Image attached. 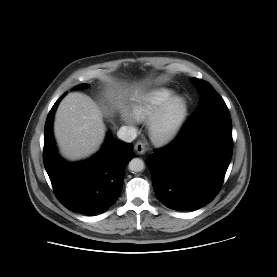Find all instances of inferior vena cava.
Returning <instances> with one entry per match:
<instances>
[{
	"mask_svg": "<svg viewBox=\"0 0 277 277\" xmlns=\"http://www.w3.org/2000/svg\"><path fill=\"white\" fill-rule=\"evenodd\" d=\"M117 136L125 142H132L137 137V132L134 127L122 126L118 130Z\"/></svg>",
	"mask_w": 277,
	"mask_h": 277,
	"instance_id": "1",
	"label": "inferior vena cava"
}]
</instances>
